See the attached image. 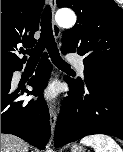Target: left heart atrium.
<instances>
[{
    "label": "left heart atrium",
    "mask_w": 123,
    "mask_h": 152,
    "mask_svg": "<svg viewBox=\"0 0 123 152\" xmlns=\"http://www.w3.org/2000/svg\"><path fill=\"white\" fill-rule=\"evenodd\" d=\"M57 95V89L54 85L48 86L42 93V97L46 100L54 99Z\"/></svg>",
    "instance_id": "obj_1"
}]
</instances>
